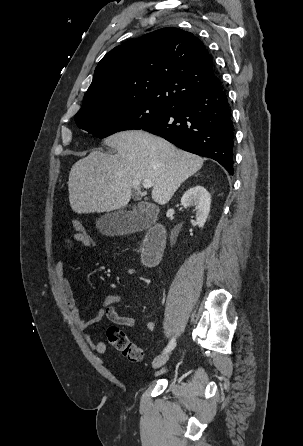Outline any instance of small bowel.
<instances>
[{"mask_svg": "<svg viewBox=\"0 0 303 446\" xmlns=\"http://www.w3.org/2000/svg\"><path fill=\"white\" fill-rule=\"evenodd\" d=\"M76 242L81 243L88 250L93 249L95 246L90 236L85 237L73 233L63 242V248L65 250H71ZM55 272L63 300L69 309L70 317L79 329L85 330L89 326L99 322L103 317H106L110 322L120 326L133 327L135 325L136 321L133 317L122 315L116 309L115 304L122 301V296L119 294L106 296L97 313L92 318L85 320L77 306L68 276L64 269V263L62 261L57 262ZM147 328L149 330H154L155 322L149 321L147 323ZM86 341L88 345L98 353H104L106 351V344L104 342L96 340L89 335H86Z\"/></svg>", "mask_w": 303, "mask_h": 446, "instance_id": "obj_1", "label": "small bowel"}]
</instances>
